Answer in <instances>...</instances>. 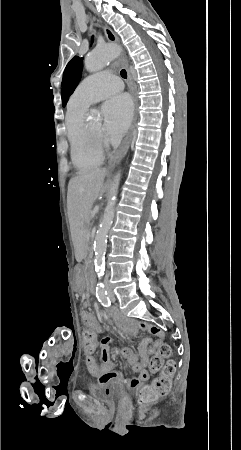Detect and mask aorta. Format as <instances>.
Returning a JSON list of instances; mask_svg holds the SVG:
<instances>
[{
    "label": "aorta",
    "instance_id": "1",
    "mask_svg": "<svg viewBox=\"0 0 241 450\" xmlns=\"http://www.w3.org/2000/svg\"><path fill=\"white\" fill-rule=\"evenodd\" d=\"M121 52L119 46L115 44H106L95 48L92 52L88 53L84 65L89 72H96L103 69L112 60H114ZM120 171L115 175L114 181L110 188V194L107 202V206L104 210L102 221L99 229L96 233L94 240V253H95V271L99 278L104 275L105 271V253L107 249V237L108 232L112 226L114 219V206L117 200L118 187L120 182Z\"/></svg>",
    "mask_w": 241,
    "mask_h": 450
}]
</instances>
